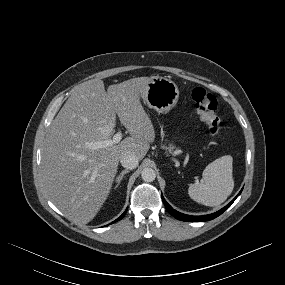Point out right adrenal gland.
Returning <instances> with one entry per match:
<instances>
[{
	"label": "right adrenal gland",
	"instance_id": "right-adrenal-gland-1",
	"mask_svg": "<svg viewBox=\"0 0 285 285\" xmlns=\"http://www.w3.org/2000/svg\"><path fill=\"white\" fill-rule=\"evenodd\" d=\"M129 173V170H124L120 173V175L116 178V186L115 189L119 186L121 180L123 179L124 175Z\"/></svg>",
	"mask_w": 285,
	"mask_h": 285
}]
</instances>
